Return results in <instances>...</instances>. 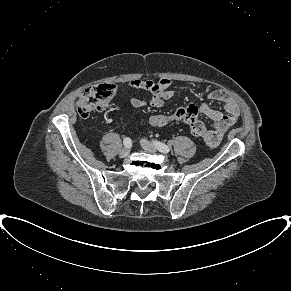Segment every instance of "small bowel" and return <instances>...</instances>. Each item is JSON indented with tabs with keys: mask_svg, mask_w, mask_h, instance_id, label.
Returning a JSON list of instances; mask_svg holds the SVG:
<instances>
[{
	"mask_svg": "<svg viewBox=\"0 0 291 291\" xmlns=\"http://www.w3.org/2000/svg\"><path fill=\"white\" fill-rule=\"evenodd\" d=\"M130 87L150 92L148 100H142L132 96L130 98V104L134 108H143L146 106L161 108L167 100L174 96L172 82L167 78L160 79L157 82L152 80H134L130 83ZM208 98L222 103L225 111V113H222L206 103L197 107L199 113L213 121L214 128L210 131V134L213 137L214 144H216L225 132L237 122L240 110L236 102L223 90L211 91L208 93Z\"/></svg>",
	"mask_w": 291,
	"mask_h": 291,
	"instance_id": "c3829d8e",
	"label": "small bowel"
}]
</instances>
